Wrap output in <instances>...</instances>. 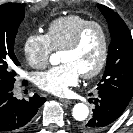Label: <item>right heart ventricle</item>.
Segmentation results:
<instances>
[{
    "label": "right heart ventricle",
    "instance_id": "right-heart-ventricle-1",
    "mask_svg": "<svg viewBox=\"0 0 133 133\" xmlns=\"http://www.w3.org/2000/svg\"><path fill=\"white\" fill-rule=\"evenodd\" d=\"M88 21L87 18L78 14H69L53 20L49 24L46 34L53 49H62Z\"/></svg>",
    "mask_w": 133,
    "mask_h": 133
}]
</instances>
